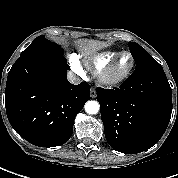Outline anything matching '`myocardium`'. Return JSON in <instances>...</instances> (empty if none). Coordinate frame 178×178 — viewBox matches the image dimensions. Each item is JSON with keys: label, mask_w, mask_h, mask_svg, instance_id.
<instances>
[{"label": "myocardium", "mask_w": 178, "mask_h": 178, "mask_svg": "<svg viewBox=\"0 0 178 178\" xmlns=\"http://www.w3.org/2000/svg\"><path fill=\"white\" fill-rule=\"evenodd\" d=\"M128 54L131 57L132 63L130 68L119 76H112L111 72L114 66L116 65L119 58ZM135 68V58L134 55L130 51H121L117 54V56L109 62L104 68H102L98 73V82L105 87H116L125 82L130 75L132 74Z\"/></svg>", "instance_id": "1"}]
</instances>
